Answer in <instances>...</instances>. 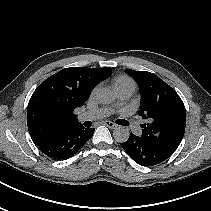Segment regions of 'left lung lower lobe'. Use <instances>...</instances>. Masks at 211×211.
<instances>
[{"instance_id": "left-lung-lower-lobe-1", "label": "left lung lower lobe", "mask_w": 211, "mask_h": 211, "mask_svg": "<svg viewBox=\"0 0 211 211\" xmlns=\"http://www.w3.org/2000/svg\"><path fill=\"white\" fill-rule=\"evenodd\" d=\"M120 145L136 163L142 166L157 165L170 157L141 136H135L133 133L127 141Z\"/></svg>"}]
</instances>
